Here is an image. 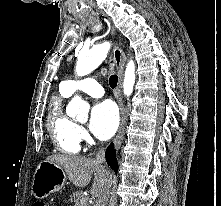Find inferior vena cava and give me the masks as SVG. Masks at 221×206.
<instances>
[{
	"label": "inferior vena cava",
	"mask_w": 221,
	"mask_h": 206,
	"mask_svg": "<svg viewBox=\"0 0 221 206\" xmlns=\"http://www.w3.org/2000/svg\"><path fill=\"white\" fill-rule=\"evenodd\" d=\"M96 161L101 165L105 163V151L103 149L98 151L96 155ZM102 167L104 168L107 177L104 183L102 193L99 195L94 206H106L109 200V194H110L111 185H112L111 176L108 170L106 169V166L102 165Z\"/></svg>",
	"instance_id": "obj_1"
}]
</instances>
